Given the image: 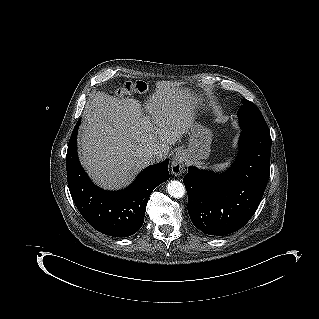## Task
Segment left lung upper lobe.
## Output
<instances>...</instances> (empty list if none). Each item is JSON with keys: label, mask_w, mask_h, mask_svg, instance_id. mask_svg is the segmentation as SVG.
<instances>
[{"label": "left lung upper lobe", "mask_w": 319, "mask_h": 319, "mask_svg": "<svg viewBox=\"0 0 319 319\" xmlns=\"http://www.w3.org/2000/svg\"><path fill=\"white\" fill-rule=\"evenodd\" d=\"M242 104L243 105L238 111L239 122L242 130L268 133V126L258 107L246 99H242Z\"/></svg>", "instance_id": "5c2ea615"}]
</instances>
